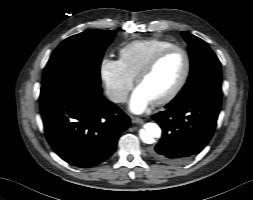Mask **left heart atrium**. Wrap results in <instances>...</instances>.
<instances>
[{
  "label": "left heart atrium",
  "mask_w": 253,
  "mask_h": 200,
  "mask_svg": "<svg viewBox=\"0 0 253 200\" xmlns=\"http://www.w3.org/2000/svg\"><path fill=\"white\" fill-rule=\"evenodd\" d=\"M151 104H153L151 99L137 87L131 96L129 108L132 112L140 114L146 111Z\"/></svg>",
  "instance_id": "obj_1"
}]
</instances>
